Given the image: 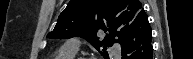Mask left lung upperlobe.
<instances>
[{
  "instance_id": "1",
  "label": "left lung upper lobe",
  "mask_w": 193,
  "mask_h": 59,
  "mask_svg": "<svg viewBox=\"0 0 193 59\" xmlns=\"http://www.w3.org/2000/svg\"><path fill=\"white\" fill-rule=\"evenodd\" d=\"M142 12L144 9L139 0H71L47 37L85 38L106 58L107 53L104 51L107 46L119 42L124 32ZM102 30L108 32L103 40L97 37V33ZM114 37H118V40Z\"/></svg>"
}]
</instances>
